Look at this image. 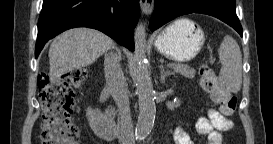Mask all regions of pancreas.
I'll use <instances>...</instances> for the list:
<instances>
[{
	"instance_id": "pancreas-1",
	"label": "pancreas",
	"mask_w": 273,
	"mask_h": 144,
	"mask_svg": "<svg viewBox=\"0 0 273 144\" xmlns=\"http://www.w3.org/2000/svg\"><path fill=\"white\" fill-rule=\"evenodd\" d=\"M175 72L183 75L186 78L193 79L195 77L196 71L194 69H190L186 65H179L178 68H174Z\"/></svg>"
}]
</instances>
